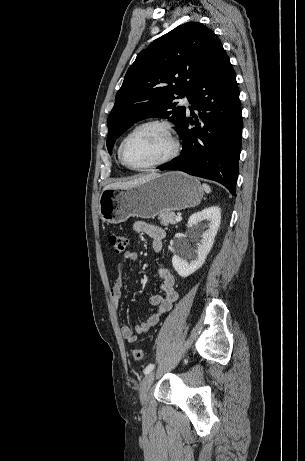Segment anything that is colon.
I'll use <instances>...</instances> for the list:
<instances>
[{"label": "colon", "instance_id": "5ec220e1", "mask_svg": "<svg viewBox=\"0 0 305 461\" xmlns=\"http://www.w3.org/2000/svg\"><path fill=\"white\" fill-rule=\"evenodd\" d=\"M108 241L116 253H123L127 246V237L125 234L111 232L108 236ZM133 358L140 361L144 358V353L141 348L135 347L132 350Z\"/></svg>", "mask_w": 305, "mask_h": 461}]
</instances>
